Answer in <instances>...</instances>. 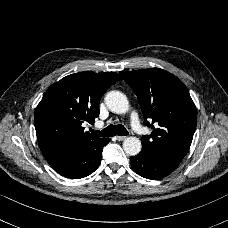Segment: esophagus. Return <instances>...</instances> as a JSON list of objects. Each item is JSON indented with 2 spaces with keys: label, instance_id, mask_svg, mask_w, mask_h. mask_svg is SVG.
<instances>
[{
  "label": "esophagus",
  "instance_id": "1",
  "mask_svg": "<svg viewBox=\"0 0 228 228\" xmlns=\"http://www.w3.org/2000/svg\"><path fill=\"white\" fill-rule=\"evenodd\" d=\"M118 141H124L127 137L126 136H116Z\"/></svg>",
  "mask_w": 228,
  "mask_h": 228
}]
</instances>
